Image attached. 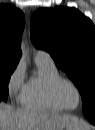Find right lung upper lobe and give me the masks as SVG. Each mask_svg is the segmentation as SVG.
<instances>
[{"label":"right lung upper lobe","instance_id":"1","mask_svg":"<svg viewBox=\"0 0 95 130\" xmlns=\"http://www.w3.org/2000/svg\"><path fill=\"white\" fill-rule=\"evenodd\" d=\"M24 25L22 11L10 5H0V65L17 66Z\"/></svg>","mask_w":95,"mask_h":130}]
</instances>
